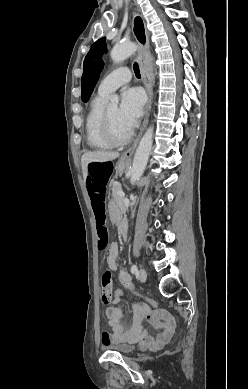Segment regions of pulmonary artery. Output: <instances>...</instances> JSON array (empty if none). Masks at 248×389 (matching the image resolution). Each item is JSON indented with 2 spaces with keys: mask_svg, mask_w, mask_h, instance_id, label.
Wrapping results in <instances>:
<instances>
[{
  "mask_svg": "<svg viewBox=\"0 0 248 389\" xmlns=\"http://www.w3.org/2000/svg\"><path fill=\"white\" fill-rule=\"evenodd\" d=\"M132 73L127 67H119L109 73L100 82L98 93L107 96L131 79Z\"/></svg>",
  "mask_w": 248,
  "mask_h": 389,
  "instance_id": "pulmonary-artery-1",
  "label": "pulmonary artery"
}]
</instances>
